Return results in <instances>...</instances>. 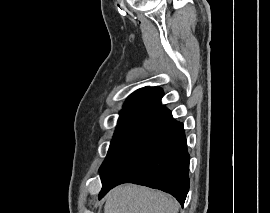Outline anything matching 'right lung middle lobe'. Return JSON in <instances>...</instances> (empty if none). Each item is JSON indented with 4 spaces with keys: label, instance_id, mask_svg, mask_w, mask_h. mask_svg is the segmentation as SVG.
Masks as SVG:
<instances>
[{
    "label": "right lung middle lobe",
    "instance_id": "1",
    "mask_svg": "<svg viewBox=\"0 0 270 213\" xmlns=\"http://www.w3.org/2000/svg\"><path fill=\"white\" fill-rule=\"evenodd\" d=\"M154 109L155 107L152 106H132L125 107L120 112L116 131L111 141L108 154L99 169L100 171L107 167L135 129Z\"/></svg>",
    "mask_w": 270,
    "mask_h": 213
}]
</instances>
